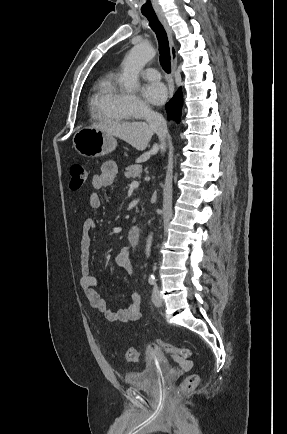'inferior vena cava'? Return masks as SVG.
Returning a JSON list of instances; mask_svg holds the SVG:
<instances>
[{"instance_id":"obj_1","label":"inferior vena cava","mask_w":287,"mask_h":434,"mask_svg":"<svg viewBox=\"0 0 287 434\" xmlns=\"http://www.w3.org/2000/svg\"><path fill=\"white\" fill-rule=\"evenodd\" d=\"M144 118L159 136L161 140L160 148L162 151H165V138L168 135L166 120L160 113L152 111L151 109H145Z\"/></svg>"}]
</instances>
